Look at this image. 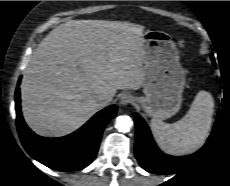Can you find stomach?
I'll return each mask as SVG.
<instances>
[{
  "mask_svg": "<svg viewBox=\"0 0 230 186\" xmlns=\"http://www.w3.org/2000/svg\"><path fill=\"white\" fill-rule=\"evenodd\" d=\"M143 38L145 97L137 102L148 116L167 119L181 108L185 72L176 45L167 33L148 30Z\"/></svg>",
  "mask_w": 230,
  "mask_h": 186,
  "instance_id": "obj_1",
  "label": "stomach"
}]
</instances>
